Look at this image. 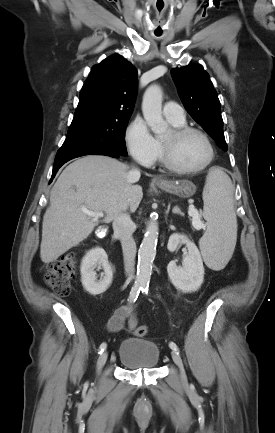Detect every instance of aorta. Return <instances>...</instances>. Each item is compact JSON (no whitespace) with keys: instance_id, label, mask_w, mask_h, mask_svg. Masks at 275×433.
Masks as SVG:
<instances>
[{"instance_id":"1","label":"aorta","mask_w":275,"mask_h":433,"mask_svg":"<svg viewBox=\"0 0 275 433\" xmlns=\"http://www.w3.org/2000/svg\"><path fill=\"white\" fill-rule=\"evenodd\" d=\"M142 112L147 125L157 136L167 130L162 116V90L158 85L153 84L146 89L143 95ZM158 234L157 220L151 217L138 250L136 283L143 288L149 285L152 264L156 256Z\"/></svg>"}]
</instances>
